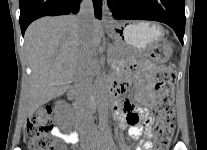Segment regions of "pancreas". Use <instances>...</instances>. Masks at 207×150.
I'll return each mask as SVG.
<instances>
[{
  "label": "pancreas",
  "instance_id": "pancreas-1",
  "mask_svg": "<svg viewBox=\"0 0 207 150\" xmlns=\"http://www.w3.org/2000/svg\"><path fill=\"white\" fill-rule=\"evenodd\" d=\"M120 52H121L120 47L112 48L111 49V56H110L111 60H113V61L119 60L118 56H119Z\"/></svg>",
  "mask_w": 207,
  "mask_h": 150
}]
</instances>
